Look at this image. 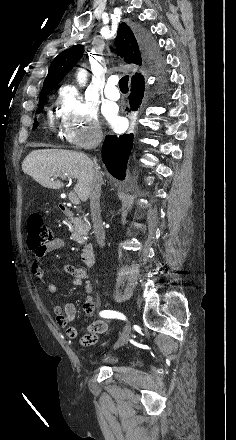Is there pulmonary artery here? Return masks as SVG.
<instances>
[{
	"mask_svg": "<svg viewBox=\"0 0 236 440\" xmlns=\"http://www.w3.org/2000/svg\"><path fill=\"white\" fill-rule=\"evenodd\" d=\"M116 85H117L116 77L108 78L104 89V94L110 100H118L120 98V93Z\"/></svg>",
	"mask_w": 236,
	"mask_h": 440,
	"instance_id": "obj_1",
	"label": "pulmonary artery"
}]
</instances>
